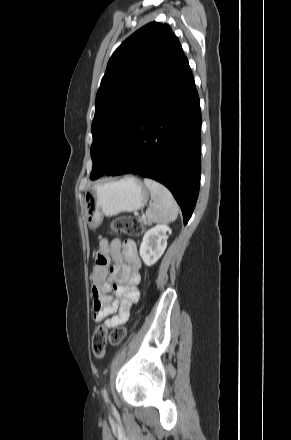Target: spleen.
Here are the masks:
<instances>
[{
    "instance_id": "3e777b00",
    "label": "spleen",
    "mask_w": 291,
    "mask_h": 440,
    "mask_svg": "<svg viewBox=\"0 0 291 440\" xmlns=\"http://www.w3.org/2000/svg\"><path fill=\"white\" fill-rule=\"evenodd\" d=\"M144 183L151 193L153 204L146 210L150 222H172L178 216V205L172 193L162 184L149 178Z\"/></svg>"
}]
</instances>
